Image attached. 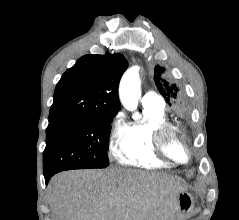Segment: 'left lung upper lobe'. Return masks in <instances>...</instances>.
Segmentation results:
<instances>
[{
	"label": "left lung upper lobe",
	"mask_w": 239,
	"mask_h": 220,
	"mask_svg": "<svg viewBox=\"0 0 239 220\" xmlns=\"http://www.w3.org/2000/svg\"><path fill=\"white\" fill-rule=\"evenodd\" d=\"M165 68L156 66L154 81L156 86L165 98V101L172 107L175 114L181 118L187 119L189 117V106L185 99L180 94V90L176 84H171L166 81L162 74Z\"/></svg>",
	"instance_id": "1"
}]
</instances>
